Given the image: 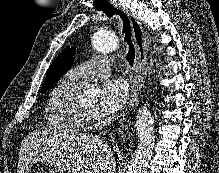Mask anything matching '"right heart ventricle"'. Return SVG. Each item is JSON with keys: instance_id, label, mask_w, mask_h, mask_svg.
<instances>
[{"instance_id": "right-heart-ventricle-1", "label": "right heart ventricle", "mask_w": 219, "mask_h": 173, "mask_svg": "<svg viewBox=\"0 0 219 173\" xmlns=\"http://www.w3.org/2000/svg\"><path fill=\"white\" fill-rule=\"evenodd\" d=\"M81 87L65 76L52 89L44 112L50 129L64 133H78L86 129V122L78 115L75 106Z\"/></svg>"}]
</instances>
